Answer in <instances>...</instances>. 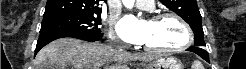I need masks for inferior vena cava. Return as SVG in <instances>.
<instances>
[{
	"mask_svg": "<svg viewBox=\"0 0 246 69\" xmlns=\"http://www.w3.org/2000/svg\"><path fill=\"white\" fill-rule=\"evenodd\" d=\"M109 46L113 47V48H116V49H122V47H120V46H118L116 44H113V43H111Z\"/></svg>",
	"mask_w": 246,
	"mask_h": 69,
	"instance_id": "obj_1",
	"label": "inferior vena cava"
}]
</instances>
